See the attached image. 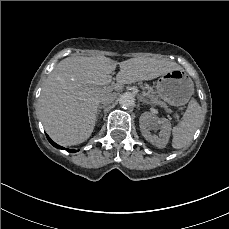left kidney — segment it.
<instances>
[{
    "mask_svg": "<svg viewBox=\"0 0 229 229\" xmlns=\"http://www.w3.org/2000/svg\"><path fill=\"white\" fill-rule=\"evenodd\" d=\"M139 123L143 136L149 142L158 148H165L166 144L168 143L171 131V124L166 118L159 119L152 113L145 112L140 116ZM157 124L160 125L161 128L159 137L152 136L149 132V129L156 126Z\"/></svg>",
    "mask_w": 229,
    "mask_h": 229,
    "instance_id": "obj_1",
    "label": "left kidney"
}]
</instances>
